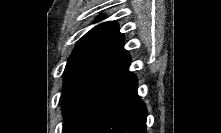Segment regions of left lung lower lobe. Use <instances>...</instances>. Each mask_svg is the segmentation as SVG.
<instances>
[{"label": "left lung lower lobe", "instance_id": "obj_1", "mask_svg": "<svg viewBox=\"0 0 221 133\" xmlns=\"http://www.w3.org/2000/svg\"><path fill=\"white\" fill-rule=\"evenodd\" d=\"M126 55L92 81L67 114L63 133H146L147 108Z\"/></svg>", "mask_w": 221, "mask_h": 133}]
</instances>
